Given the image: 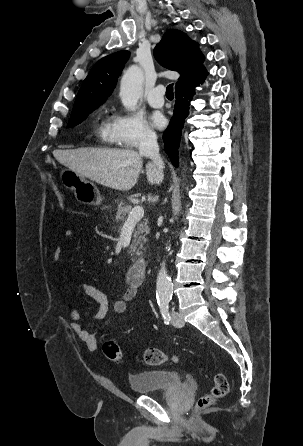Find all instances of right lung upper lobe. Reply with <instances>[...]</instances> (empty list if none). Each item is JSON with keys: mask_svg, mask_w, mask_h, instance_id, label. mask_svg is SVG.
Instances as JSON below:
<instances>
[{"mask_svg": "<svg viewBox=\"0 0 303 446\" xmlns=\"http://www.w3.org/2000/svg\"><path fill=\"white\" fill-rule=\"evenodd\" d=\"M154 56L162 66L180 73L176 89L207 74L198 44L177 29H170L164 34L154 49ZM128 57V51H119L100 59L83 81L72 113L105 102Z\"/></svg>", "mask_w": 303, "mask_h": 446, "instance_id": "right-lung-upper-lobe-1", "label": "right lung upper lobe"}]
</instances>
